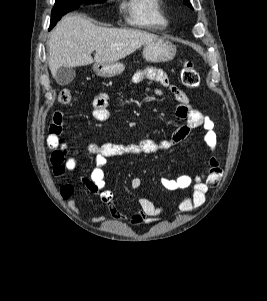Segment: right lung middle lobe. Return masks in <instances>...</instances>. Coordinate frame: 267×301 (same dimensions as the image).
<instances>
[{
    "mask_svg": "<svg viewBox=\"0 0 267 301\" xmlns=\"http://www.w3.org/2000/svg\"><path fill=\"white\" fill-rule=\"evenodd\" d=\"M106 0H56L51 13L50 28L56 25L66 13L80 7L81 4H97Z\"/></svg>",
    "mask_w": 267,
    "mask_h": 301,
    "instance_id": "right-lung-middle-lobe-1",
    "label": "right lung middle lobe"
}]
</instances>
